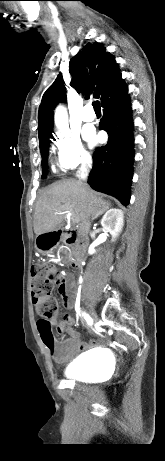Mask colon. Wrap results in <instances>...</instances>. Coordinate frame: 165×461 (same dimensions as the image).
I'll return each mask as SVG.
<instances>
[{"label": "colon", "mask_w": 165, "mask_h": 461, "mask_svg": "<svg viewBox=\"0 0 165 461\" xmlns=\"http://www.w3.org/2000/svg\"><path fill=\"white\" fill-rule=\"evenodd\" d=\"M51 241L52 239L48 237L43 238L44 244H49ZM31 276L32 301L36 306L38 314L41 316L38 322L41 339L47 347L54 348L55 337L52 332L50 320L57 316L58 304L57 301L51 297V293L53 288L57 286L61 274L59 270L52 265L36 263L31 268Z\"/></svg>", "instance_id": "obj_1"}]
</instances>
